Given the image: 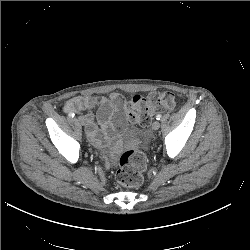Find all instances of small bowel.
Wrapping results in <instances>:
<instances>
[{
    "instance_id": "obj_1",
    "label": "small bowel",
    "mask_w": 250,
    "mask_h": 250,
    "mask_svg": "<svg viewBox=\"0 0 250 250\" xmlns=\"http://www.w3.org/2000/svg\"><path fill=\"white\" fill-rule=\"evenodd\" d=\"M125 108L124 98L117 93L105 96H76L69 99L63 106L65 113L85 112V131L90 141L103 147L105 140L113 131L111 117L115 113L119 118L123 116Z\"/></svg>"
}]
</instances>
